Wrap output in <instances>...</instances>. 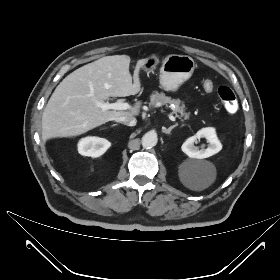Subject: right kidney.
<instances>
[{"mask_svg": "<svg viewBox=\"0 0 280 280\" xmlns=\"http://www.w3.org/2000/svg\"><path fill=\"white\" fill-rule=\"evenodd\" d=\"M111 143L100 137H85L78 143V152L83 156L99 157L103 155Z\"/></svg>", "mask_w": 280, "mask_h": 280, "instance_id": "1", "label": "right kidney"}]
</instances>
